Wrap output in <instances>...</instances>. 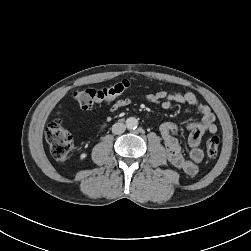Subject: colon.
<instances>
[{"label":"colon","mask_w":251,"mask_h":251,"mask_svg":"<svg viewBox=\"0 0 251 251\" xmlns=\"http://www.w3.org/2000/svg\"><path fill=\"white\" fill-rule=\"evenodd\" d=\"M130 86L131 80L124 79L101 89L87 88L77 90L73 93V98L82 109H90L95 105L115 99L129 89ZM45 138L54 159L64 162L73 148V138L60 118H55L48 124L45 130ZM219 146V138L216 135L210 136L205 144L207 156L212 159L215 158L218 155Z\"/></svg>","instance_id":"colon-1"}]
</instances>
